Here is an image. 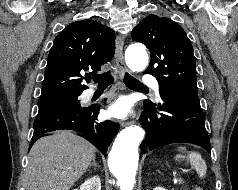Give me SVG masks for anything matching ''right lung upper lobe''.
I'll return each mask as SVG.
<instances>
[{"instance_id":"right-lung-upper-lobe-1","label":"right lung upper lobe","mask_w":238,"mask_h":190,"mask_svg":"<svg viewBox=\"0 0 238 190\" xmlns=\"http://www.w3.org/2000/svg\"><path fill=\"white\" fill-rule=\"evenodd\" d=\"M114 52L111 28L92 19L71 23L57 35L49 52L39 101L80 95L87 89L81 73L100 71Z\"/></svg>"}]
</instances>
